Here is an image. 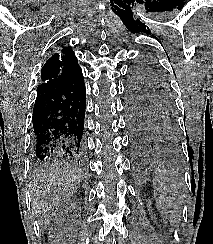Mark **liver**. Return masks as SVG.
<instances>
[{
    "label": "liver",
    "instance_id": "liver-1",
    "mask_svg": "<svg viewBox=\"0 0 213 244\" xmlns=\"http://www.w3.org/2000/svg\"><path fill=\"white\" fill-rule=\"evenodd\" d=\"M81 172L62 162L37 169L31 179L32 209L41 227H46L56 210L78 190Z\"/></svg>",
    "mask_w": 213,
    "mask_h": 244
}]
</instances>
